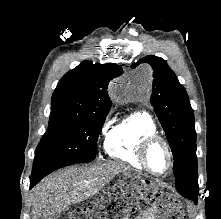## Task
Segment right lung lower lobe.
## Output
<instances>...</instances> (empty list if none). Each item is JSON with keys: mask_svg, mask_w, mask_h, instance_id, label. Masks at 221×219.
I'll use <instances>...</instances> for the list:
<instances>
[{"mask_svg": "<svg viewBox=\"0 0 221 219\" xmlns=\"http://www.w3.org/2000/svg\"><path fill=\"white\" fill-rule=\"evenodd\" d=\"M71 164L74 163L50 155L35 158L30 178V189L49 173Z\"/></svg>", "mask_w": 221, "mask_h": 219, "instance_id": "obj_1", "label": "right lung lower lobe"}]
</instances>
